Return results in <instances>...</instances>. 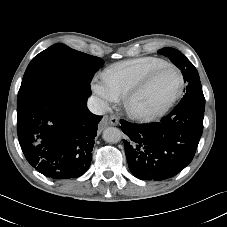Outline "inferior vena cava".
Masks as SVG:
<instances>
[{"label":"inferior vena cava","instance_id":"inferior-vena-cava-1","mask_svg":"<svg viewBox=\"0 0 227 227\" xmlns=\"http://www.w3.org/2000/svg\"><path fill=\"white\" fill-rule=\"evenodd\" d=\"M88 109L96 115H103L109 110V105L104 100L91 96L87 101Z\"/></svg>","mask_w":227,"mask_h":227}]
</instances>
